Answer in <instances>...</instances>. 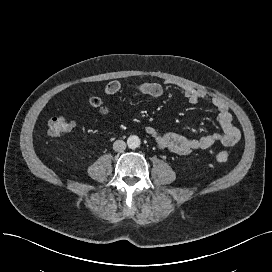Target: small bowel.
<instances>
[{
  "mask_svg": "<svg viewBox=\"0 0 272 272\" xmlns=\"http://www.w3.org/2000/svg\"><path fill=\"white\" fill-rule=\"evenodd\" d=\"M168 85L176 86L183 95L193 104L208 102L218 111V121L221 132H213L198 138H187L182 135L169 132L160 133L153 126H146L145 132L161 149L168 150L177 155H188L194 150L208 149L216 143L225 147L235 145L241 138L240 130L234 125L233 117L227 103L220 97H213L204 90L196 89L190 85L176 82H167ZM143 95L158 97L164 91V85L155 82L128 83L125 86L119 81H111L104 87L108 95L118 93L123 88Z\"/></svg>",
  "mask_w": 272,
  "mask_h": 272,
  "instance_id": "obj_1",
  "label": "small bowel"
}]
</instances>
